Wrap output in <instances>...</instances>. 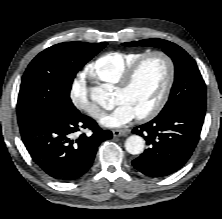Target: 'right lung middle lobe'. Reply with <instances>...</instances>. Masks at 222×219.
I'll return each instance as SVG.
<instances>
[{
  "instance_id": "1",
  "label": "right lung middle lobe",
  "mask_w": 222,
  "mask_h": 219,
  "mask_svg": "<svg viewBox=\"0 0 222 219\" xmlns=\"http://www.w3.org/2000/svg\"><path fill=\"white\" fill-rule=\"evenodd\" d=\"M106 45V42H65L39 53L27 67L20 86L17 102L20 130L44 120L57 109L75 108L70 99L73 79Z\"/></svg>"
}]
</instances>
